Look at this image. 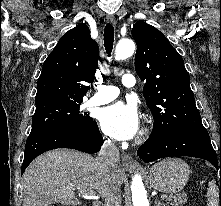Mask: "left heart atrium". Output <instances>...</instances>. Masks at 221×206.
I'll return each instance as SVG.
<instances>
[{
  "instance_id": "obj_1",
  "label": "left heart atrium",
  "mask_w": 221,
  "mask_h": 206,
  "mask_svg": "<svg viewBox=\"0 0 221 206\" xmlns=\"http://www.w3.org/2000/svg\"><path fill=\"white\" fill-rule=\"evenodd\" d=\"M103 131L119 139H131L139 131V114L133 104L116 102L103 108L99 115Z\"/></svg>"
}]
</instances>
